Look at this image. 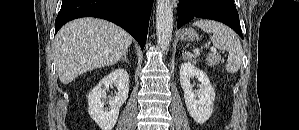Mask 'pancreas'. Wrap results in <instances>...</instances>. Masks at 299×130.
I'll return each mask as SVG.
<instances>
[{
    "label": "pancreas",
    "mask_w": 299,
    "mask_h": 130,
    "mask_svg": "<svg viewBox=\"0 0 299 130\" xmlns=\"http://www.w3.org/2000/svg\"><path fill=\"white\" fill-rule=\"evenodd\" d=\"M221 61V58L216 55H209L206 59L208 66H215Z\"/></svg>",
    "instance_id": "obj_1"
}]
</instances>
